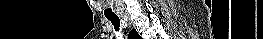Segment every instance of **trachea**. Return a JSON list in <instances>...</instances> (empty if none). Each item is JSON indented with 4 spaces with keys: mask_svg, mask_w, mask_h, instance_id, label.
<instances>
[{
    "mask_svg": "<svg viewBox=\"0 0 263 39\" xmlns=\"http://www.w3.org/2000/svg\"><path fill=\"white\" fill-rule=\"evenodd\" d=\"M108 20L114 25V29L116 31H119V27H120V20L119 18H109L108 17Z\"/></svg>",
    "mask_w": 263,
    "mask_h": 39,
    "instance_id": "trachea-1",
    "label": "trachea"
}]
</instances>
